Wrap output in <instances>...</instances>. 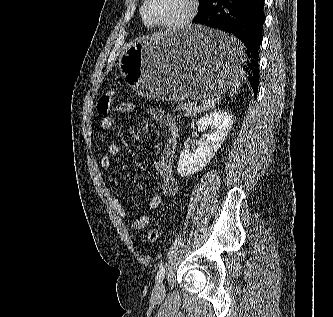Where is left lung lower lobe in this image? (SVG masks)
Listing matches in <instances>:
<instances>
[{"mask_svg":"<svg viewBox=\"0 0 333 317\" xmlns=\"http://www.w3.org/2000/svg\"><path fill=\"white\" fill-rule=\"evenodd\" d=\"M264 21V0H211L205 10L194 19L196 24L236 36L245 45L248 60L243 68L248 74L247 79L255 98L259 85L258 55ZM214 53L226 59L240 58L227 43L216 48Z\"/></svg>","mask_w":333,"mask_h":317,"instance_id":"1","label":"left lung lower lobe"}]
</instances>
